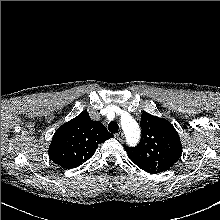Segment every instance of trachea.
I'll use <instances>...</instances> for the list:
<instances>
[{"instance_id": "3493384b", "label": "trachea", "mask_w": 220, "mask_h": 220, "mask_svg": "<svg viewBox=\"0 0 220 220\" xmlns=\"http://www.w3.org/2000/svg\"><path fill=\"white\" fill-rule=\"evenodd\" d=\"M108 130L111 133H116L119 130V126L116 122H110L109 125H108Z\"/></svg>"}]
</instances>
